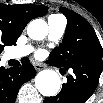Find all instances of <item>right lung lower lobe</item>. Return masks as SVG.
<instances>
[{"instance_id": "98d812e1", "label": "right lung lower lobe", "mask_w": 103, "mask_h": 103, "mask_svg": "<svg viewBox=\"0 0 103 103\" xmlns=\"http://www.w3.org/2000/svg\"><path fill=\"white\" fill-rule=\"evenodd\" d=\"M35 75L36 71L29 60L17 68L4 69L0 67V103H14L22 84Z\"/></svg>"}]
</instances>
